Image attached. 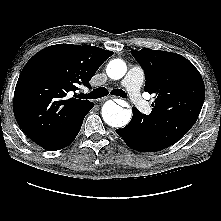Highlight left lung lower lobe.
I'll return each mask as SVG.
<instances>
[{"label":"left lung lower lobe","mask_w":221,"mask_h":221,"mask_svg":"<svg viewBox=\"0 0 221 221\" xmlns=\"http://www.w3.org/2000/svg\"><path fill=\"white\" fill-rule=\"evenodd\" d=\"M141 114L142 113L136 107H133V117L130 123L124 128L116 129V133L122 137L130 148L134 150L143 152L159 151L151 146L144 133L137 126V122L140 120Z\"/></svg>","instance_id":"1"}]
</instances>
